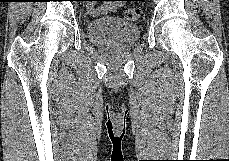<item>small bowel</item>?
<instances>
[{"label": "small bowel", "mask_w": 229, "mask_h": 161, "mask_svg": "<svg viewBox=\"0 0 229 161\" xmlns=\"http://www.w3.org/2000/svg\"><path fill=\"white\" fill-rule=\"evenodd\" d=\"M116 9V5H110L108 7H103L99 10V12L101 13H105L107 12L108 10H115Z\"/></svg>", "instance_id": "obj_1"}]
</instances>
